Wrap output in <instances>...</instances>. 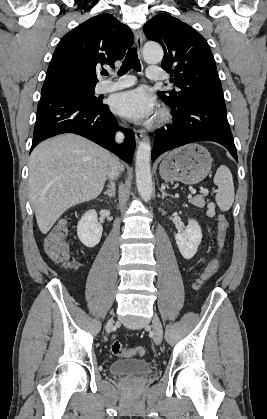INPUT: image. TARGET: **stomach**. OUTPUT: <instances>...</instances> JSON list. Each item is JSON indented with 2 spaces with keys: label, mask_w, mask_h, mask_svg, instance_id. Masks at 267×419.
Instances as JSON below:
<instances>
[{
  "label": "stomach",
  "mask_w": 267,
  "mask_h": 419,
  "mask_svg": "<svg viewBox=\"0 0 267 419\" xmlns=\"http://www.w3.org/2000/svg\"><path fill=\"white\" fill-rule=\"evenodd\" d=\"M213 159L200 144H188L168 153L162 160L159 173L166 182L192 185L202 181L210 172Z\"/></svg>",
  "instance_id": "obj_1"
}]
</instances>
